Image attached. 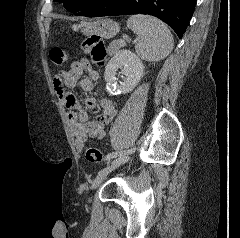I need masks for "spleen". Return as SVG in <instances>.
<instances>
[{"instance_id":"3e777b00","label":"spleen","mask_w":240,"mask_h":238,"mask_svg":"<svg viewBox=\"0 0 240 238\" xmlns=\"http://www.w3.org/2000/svg\"><path fill=\"white\" fill-rule=\"evenodd\" d=\"M127 26L137 36L135 46L137 54L146 61H160L173 49V36L160 20L146 15H133L127 20Z\"/></svg>"}]
</instances>
